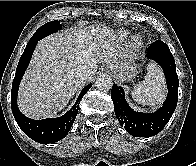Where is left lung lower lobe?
<instances>
[{"mask_svg":"<svg viewBox=\"0 0 196 166\" xmlns=\"http://www.w3.org/2000/svg\"><path fill=\"white\" fill-rule=\"evenodd\" d=\"M147 58L162 67L168 85L167 99L159 110L150 114L136 112L126 102L122 87L114 84L111 92L116 118L134 137H149L159 133L170 120L178 100L179 80L169 47L163 41H155L148 49Z\"/></svg>","mask_w":196,"mask_h":166,"instance_id":"0a47b994","label":"left lung lower lobe"}]
</instances>
